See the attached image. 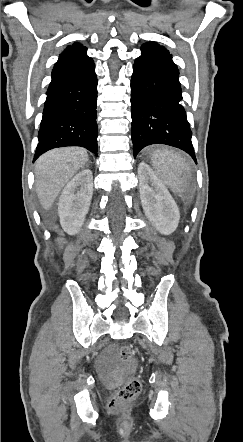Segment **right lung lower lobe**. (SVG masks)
Instances as JSON below:
<instances>
[{
	"mask_svg": "<svg viewBox=\"0 0 243 442\" xmlns=\"http://www.w3.org/2000/svg\"><path fill=\"white\" fill-rule=\"evenodd\" d=\"M97 76L86 49L62 56L52 70L34 160L44 152L81 146L97 153Z\"/></svg>",
	"mask_w": 243,
	"mask_h": 442,
	"instance_id": "right-lung-lower-lobe-1",
	"label": "right lung lower lobe"
}]
</instances>
